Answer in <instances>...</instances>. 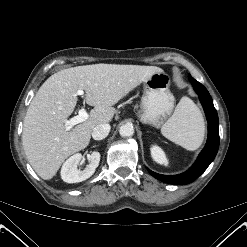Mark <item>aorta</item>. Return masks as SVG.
Listing matches in <instances>:
<instances>
[{"instance_id": "aorta-1", "label": "aorta", "mask_w": 247, "mask_h": 247, "mask_svg": "<svg viewBox=\"0 0 247 247\" xmlns=\"http://www.w3.org/2000/svg\"><path fill=\"white\" fill-rule=\"evenodd\" d=\"M119 133L122 137H130L134 134V128L131 124H124L120 127Z\"/></svg>"}]
</instances>
